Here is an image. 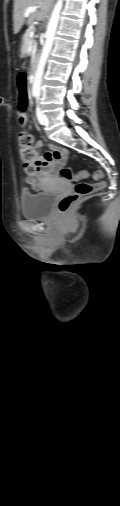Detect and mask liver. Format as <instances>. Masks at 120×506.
Listing matches in <instances>:
<instances>
[{"label": "liver", "instance_id": "liver-1", "mask_svg": "<svg viewBox=\"0 0 120 506\" xmlns=\"http://www.w3.org/2000/svg\"><path fill=\"white\" fill-rule=\"evenodd\" d=\"M52 5L53 0H14V32L18 33L20 31L26 22V18L28 19L27 23H30L34 20H44L47 17ZM31 6L37 7V10L30 13L28 16H25L26 9Z\"/></svg>", "mask_w": 120, "mask_h": 506}]
</instances>
